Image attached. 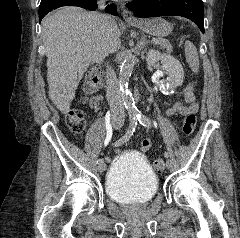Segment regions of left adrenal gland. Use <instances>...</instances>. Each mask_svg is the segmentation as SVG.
I'll use <instances>...</instances> for the list:
<instances>
[{"label": "left adrenal gland", "mask_w": 240, "mask_h": 238, "mask_svg": "<svg viewBox=\"0 0 240 238\" xmlns=\"http://www.w3.org/2000/svg\"><path fill=\"white\" fill-rule=\"evenodd\" d=\"M152 43L151 41L147 40L145 35L142 36L140 42H139V47L141 50L144 49L145 45ZM144 53V51H142Z\"/></svg>", "instance_id": "left-adrenal-gland-1"}]
</instances>
